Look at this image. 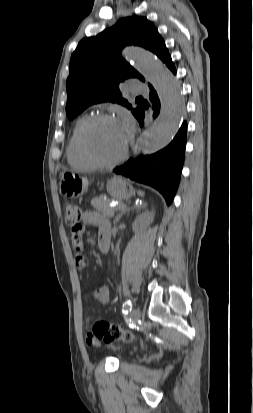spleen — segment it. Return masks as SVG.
I'll use <instances>...</instances> for the list:
<instances>
[{
    "instance_id": "spleen-1",
    "label": "spleen",
    "mask_w": 253,
    "mask_h": 413,
    "mask_svg": "<svg viewBox=\"0 0 253 413\" xmlns=\"http://www.w3.org/2000/svg\"><path fill=\"white\" fill-rule=\"evenodd\" d=\"M138 194L140 195V196H144V192H142V191H138Z\"/></svg>"
}]
</instances>
